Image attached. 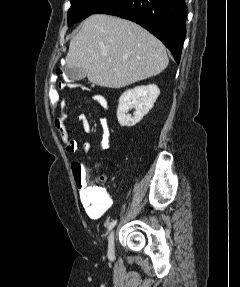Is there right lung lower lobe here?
<instances>
[{"instance_id":"1","label":"right lung lower lobe","mask_w":240,"mask_h":287,"mask_svg":"<svg viewBox=\"0 0 240 287\" xmlns=\"http://www.w3.org/2000/svg\"><path fill=\"white\" fill-rule=\"evenodd\" d=\"M95 13L118 16L141 25L161 40L175 61L180 62L186 35L185 0H107Z\"/></svg>"}]
</instances>
